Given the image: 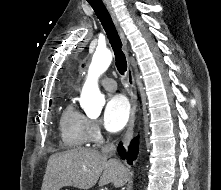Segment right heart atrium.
<instances>
[{
    "instance_id": "d8ad5b80",
    "label": "right heart atrium",
    "mask_w": 221,
    "mask_h": 190,
    "mask_svg": "<svg viewBox=\"0 0 221 190\" xmlns=\"http://www.w3.org/2000/svg\"><path fill=\"white\" fill-rule=\"evenodd\" d=\"M88 143L98 145L103 141V133L96 120H89L87 127Z\"/></svg>"
}]
</instances>
